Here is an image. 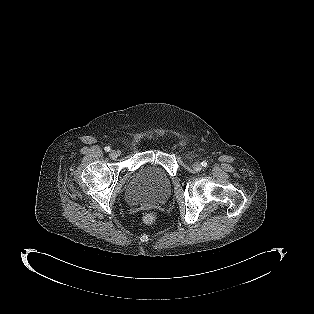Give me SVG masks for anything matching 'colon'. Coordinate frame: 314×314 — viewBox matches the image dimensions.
I'll return each instance as SVG.
<instances>
[{
  "instance_id": "colon-1",
  "label": "colon",
  "mask_w": 314,
  "mask_h": 314,
  "mask_svg": "<svg viewBox=\"0 0 314 314\" xmlns=\"http://www.w3.org/2000/svg\"><path fill=\"white\" fill-rule=\"evenodd\" d=\"M142 220L146 224H152L156 220V214L153 212H146L143 214Z\"/></svg>"
}]
</instances>
